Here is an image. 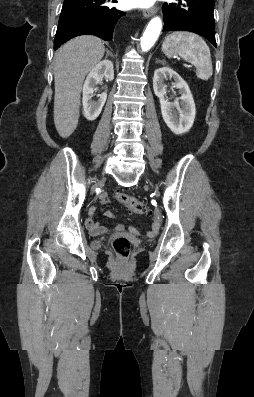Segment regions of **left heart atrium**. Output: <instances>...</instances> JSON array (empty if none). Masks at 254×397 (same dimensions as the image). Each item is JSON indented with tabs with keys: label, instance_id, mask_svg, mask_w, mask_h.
I'll use <instances>...</instances> for the list:
<instances>
[{
	"label": "left heart atrium",
	"instance_id": "1",
	"mask_svg": "<svg viewBox=\"0 0 254 397\" xmlns=\"http://www.w3.org/2000/svg\"><path fill=\"white\" fill-rule=\"evenodd\" d=\"M131 4L134 6H140V7H147L151 5L155 0H130Z\"/></svg>",
	"mask_w": 254,
	"mask_h": 397
}]
</instances>
